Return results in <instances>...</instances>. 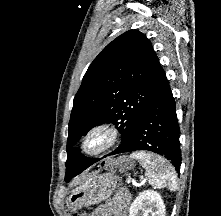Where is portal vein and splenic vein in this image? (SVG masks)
Wrapping results in <instances>:
<instances>
[{
	"instance_id": "18ae733b",
	"label": "portal vein and splenic vein",
	"mask_w": 221,
	"mask_h": 216,
	"mask_svg": "<svg viewBox=\"0 0 221 216\" xmlns=\"http://www.w3.org/2000/svg\"><path fill=\"white\" fill-rule=\"evenodd\" d=\"M131 182H132V184H134V185L136 184V180H135V179H132Z\"/></svg>"
}]
</instances>
